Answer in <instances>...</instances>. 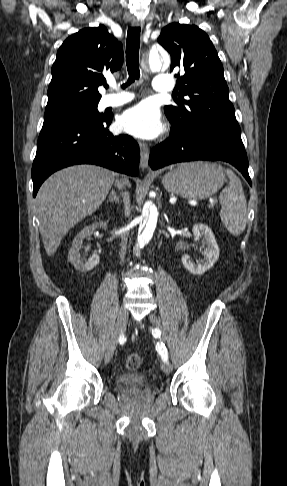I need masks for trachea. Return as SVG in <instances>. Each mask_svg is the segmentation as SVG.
Segmentation results:
<instances>
[{"instance_id":"obj_1","label":"trachea","mask_w":287,"mask_h":486,"mask_svg":"<svg viewBox=\"0 0 287 486\" xmlns=\"http://www.w3.org/2000/svg\"><path fill=\"white\" fill-rule=\"evenodd\" d=\"M140 27H131L127 33L126 44V65L129 74L127 83L122 88L132 84L140 78L139 69V48H140ZM108 87V86H107Z\"/></svg>"}]
</instances>
